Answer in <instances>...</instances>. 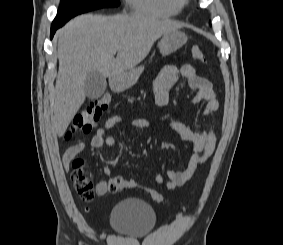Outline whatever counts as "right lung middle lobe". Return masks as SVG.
Here are the masks:
<instances>
[{
	"label": "right lung middle lobe",
	"instance_id": "right-lung-middle-lobe-1",
	"mask_svg": "<svg viewBox=\"0 0 283 245\" xmlns=\"http://www.w3.org/2000/svg\"><path fill=\"white\" fill-rule=\"evenodd\" d=\"M119 0H61L53 24L64 25L72 17L104 7H116Z\"/></svg>",
	"mask_w": 283,
	"mask_h": 245
}]
</instances>
